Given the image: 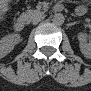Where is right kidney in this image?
<instances>
[{"instance_id": "ca27d5eb", "label": "right kidney", "mask_w": 91, "mask_h": 91, "mask_svg": "<svg viewBox=\"0 0 91 91\" xmlns=\"http://www.w3.org/2000/svg\"><path fill=\"white\" fill-rule=\"evenodd\" d=\"M21 41L19 34H9L0 40V55L6 56L10 53L16 44Z\"/></svg>"}]
</instances>
